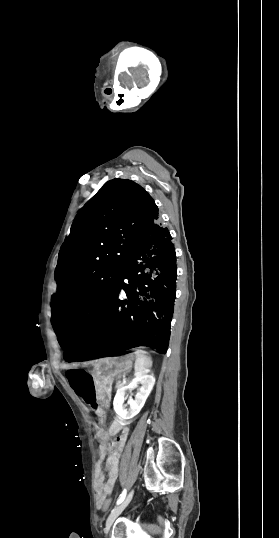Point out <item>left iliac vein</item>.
Listing matches in <instances>:
<instances>
[{
  "instance_id": "1",
  "label": "left iliac vein",
  "mask_w": 279,
  "mask_h": 538,
  "mask_svg": "<svg viewBox=\"0 0 279 538\" xmlns=\"http://www.w3.org/2000/svg\"><path fill=\"white\" fill-rule=\"evenodd\" d=\"M134 494V490H131L129 494L126 496V498L116 507L112 510V512L109 514L107 521H106V527H105V533L107 534L116 520V518L123 512V510L128 506L130 501L132 500Z\"/></svg>"
}]
</instances>
